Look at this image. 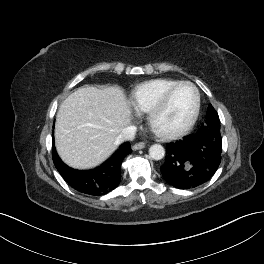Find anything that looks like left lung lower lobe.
<instances>
[{
    "mask_svg": "<svg viewBox=\"0 0 264 264\" xmlns=\"http://www.w3.org/2000/svg\"><path fill=\"white\" fill-rule=\"evenodd\" d=\"M221 153L220 129L202 125L196 133L167 145L162 176L176 188L197 187L214 175Z\"/></svg>",
    "mask_w": 264,
    "mask_h": 264,
    "instance_id": "0a47b994",
    "label": "left lung lower lobe"
}]
</instances>
